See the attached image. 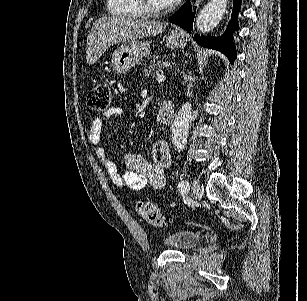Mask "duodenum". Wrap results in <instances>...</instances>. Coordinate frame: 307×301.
<instances>
[{"instance_id": "duodenum-1", "label": "duodenum", "mask_w": 307, "mask_h": 301, "mask_svg": "<svg viewBox=\"0 0 307 301\" xmlns=\"http://www.w3.org/2000/svg\"><path fill=\"white\" fill-rule=\"evenodd\" d=\"M175 117V105L172 100L164 99L159 108L158 120L163 124H170Z\"/></svg>"}]
</instances>
